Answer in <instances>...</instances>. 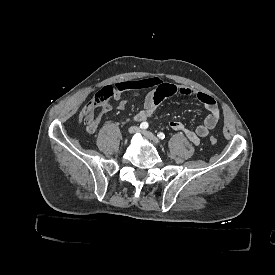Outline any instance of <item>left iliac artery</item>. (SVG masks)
Returning <instances> with one entry per match:
<instances>
[{
	"label": "left iliac artery",
	"mask_w": 275,
	"mask_h": 275,
	"mask_svg": "<svg viewBox=\"0 0 275 275\" xmlns=\"http://www.w3.org/2000/svg\"><path fill=\"white\" fill-rule=\"evenodd\" d=\"M157 136L159 137V139L163 140L165 138V134L163 132H160L157 134Z\"/></svg>",
	"instance_id": "1"
}]
</instances>
